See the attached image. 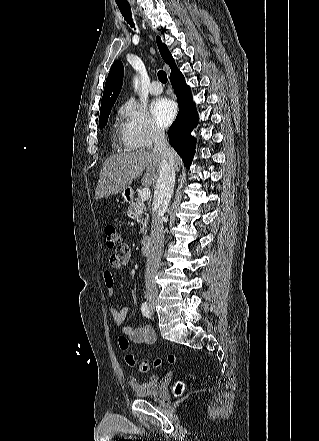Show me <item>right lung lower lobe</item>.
Returning <instances> with one entry per match:
<instances>
[{"mask_svg": "<svg viewBox=\"0 0 319 441\" xmlns=\"http://www.w3.org/2000/svg\"><path fill=\"white\" fill-rule=\"evenodd\" d=\"M170 81L178 98L179 112L168 130L169 142L188 168L196 146V139L190 135L191 130L198 124L196 106L190 87L178 69L171 72Z\"/></svg>", "mask_w": 319, "mask_h": 441, "instance_id": "1", "label": "right lung lower lobe"}]
</instances>
